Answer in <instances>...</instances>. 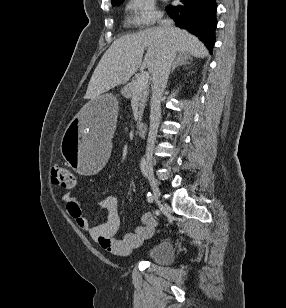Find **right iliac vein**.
I'll list each match as a JSON object with an SVG mask.
<instances>
[{"label": "right iliac vein", "instance_id": "obj_1", "mask_svg": "<svg viewBox=\"0 0 286 308\" xmlns=\"http://www.w3.org/2000/svg\"><path fill=\"white\" fill-rule=\"evenodd\" d=\"M146 169H147V172H148L149 183H150V186L152 188V191H153L157 205L159 207H161L162 210H167L168 206L165 203H163L160 199L158 184H157V181L154 177L153 162H152L151 154L148 155Z\"/></svg>", "mask_w": 286, "mask_h": 308}]
</instances>
